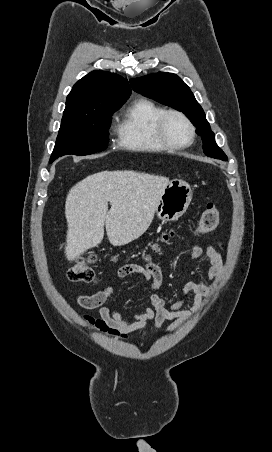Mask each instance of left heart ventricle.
I'll list each match as a JSON object with an SVG mask.
<instances>
[{"instance_id":"1","label":"left heart ventricle","mask_w":272,"mask_h":452,"mask_svg":"<svg viewBox=\"0 0 272 452\" xmlns=\"http://www.w3.org/2000/svg\"><path fill=\"white\" fill-rule=\"evenodd\" d=\"M166 132L169 138L175 143H185L190 138L187 125L177 116L168 117L166 121Z\"/></svg>"}]
</instances>
